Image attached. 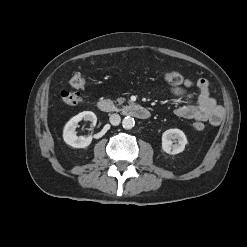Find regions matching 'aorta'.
I'll list each match as a JSON object with an SVG mask.
<instances>
[{
	"label": "aorta",
	"instance_id": "762f6f07",
	"mask_svg": "<svg viewBox=\"0 0 247 247\" xmlns=\"http://www.w3.org/2000/svg\"><path fill=\"white\" fill-rule=\"evenodd\" d=\"M123 128L125 129H132L135 125V121L132 117H125L122 121Z\"/></svg>",
	"mask_w": 247,
	"mask_h": 247
}]
</instances>
